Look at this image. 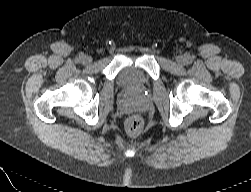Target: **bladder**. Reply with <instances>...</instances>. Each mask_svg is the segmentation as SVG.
<instances>
[{
  "mask_svg": "<svg viewBox=\"0 0 251 192\" xmlns=\"http://www.w3.org/2000/svg\"><path fill=\"white\" fill-rule=\"evenodd\" d=\"M118 82L124 87L141 88L147 85L148 80L140 68L129 66L120 72L118 76Z\"/></svg>",
  "mask_w": 251,
  "mask_h": 192,
  "instance_id": "obj_1",
  "label": "bladder"
}]
</instances>
